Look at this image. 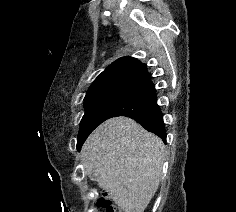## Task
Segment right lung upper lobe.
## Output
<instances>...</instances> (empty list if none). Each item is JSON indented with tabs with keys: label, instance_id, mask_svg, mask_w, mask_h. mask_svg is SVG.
<instances>
[{
	"label": "right lung upper lobe",
	"instance_id": "obj_1",
	"mask_svg": "<svg viewBox=\"0 0 236 212\" xmlns=\"http://www.w3.org/2000/svg\"><path fill=\"white\" fill-rule=\"evenodd\" d=\"M146 64L127 56L114 61L92 83L86 98L98 95L132 90L142 79L149 76Z\"/></svg>",
	"mask_w": 236,
	"mask_h": 212
}]
</instances>
